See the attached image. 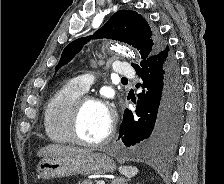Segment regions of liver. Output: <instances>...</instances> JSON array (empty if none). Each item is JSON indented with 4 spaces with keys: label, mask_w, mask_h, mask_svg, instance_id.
Here are the masks:
<instances>
[{
    "label": "liver",
    "mask_w": 224,
    "mask_h": 184,
    "mask_svg": "<svg viewBox=\"0 0 224 184\" xmlns=\"http://www.w3.org/2000/svg\"><path fill=\"white\" fill-rule=\"evenodd\" d=\"M85 152H90V151L86 149H81L78 147L50 144L41 148L38 151L37 156L49 158V157L75 155L78 153H85Z\"/></svg>",
    "instance_id": "obj_1"
}]
</instances>
